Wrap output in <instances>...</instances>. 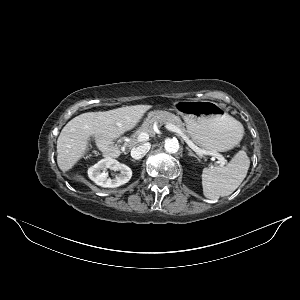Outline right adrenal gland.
I'll return each instance as SVG.
<instances>
[{
  "instance_id": "2a0ac1e0",
  "label": "right adrenal gland",
  "mask_w": 300,
  "mask_h": 300,
  "mask_svg": "<svg viewBox=\"0 0 300 300\" xmlns=\"http://www.w3.org/2000/svg\"><path fill=\"white\" fill-rule=\"evenodd\" d=\"M131 161L135 162V160L131 159Z\"/></svg>"
}]
</instances>
